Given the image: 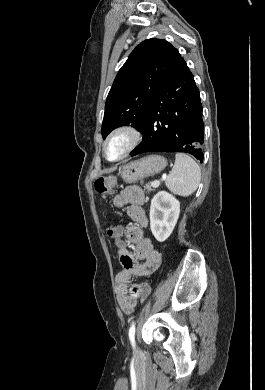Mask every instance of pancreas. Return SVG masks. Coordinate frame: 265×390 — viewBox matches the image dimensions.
<instances>
[{
  "instance_id": "cf45deb5",
  "label": "pancreas",
  "mask_w": 265,
  "mask_h": 390,
  "mask_svg": "<svg viewBox=\"0 0 265 390\" xmlns=\"http://www.w3.org/2000/svg\"><path fill=\"white\" fill-rule=\"evenodd\" d=\"M144 188L149 192V191H152L154 188H156V187H154L153 186V182L152 183H150V184H146L145 186H144Z\"/></svg>"
}]
</instances>
